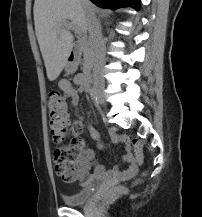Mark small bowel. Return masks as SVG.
Segmentation results:
<instances>
[{
  "label": "small bowel",
  "mask_w": 202,
  "mask_h": 217,
  "mask_svg": "<svg viewBox=\"0 0 202 217\" xmlns=\"http://www.w3.org/2000/svg\"><path fill=\"white\" fill-rule=\"evenodd\" d=\"M83 75L78 74L74 77V83L78 86L75 89L71 82L68 80H60L58 82L59 89L71 100V105L77 107L79 103V92L84 90L82 85ZM83 128V123L81 120H76L73 122H68V129H70L72 135L79 136ZM88 129L91 137L97 141L98 148L102 149L103 144L100 141L99 133L91 126L88 125ZM111 141L115 144L122 143L125 145L126 153L122 157L123 163L126 165L122 170H112L107 171L104 166L98 164L95 161V154L93 150L86 149L81 155V170L83 175H88L91 169L98 175H105L109 177H114L118 180H127L133 178L137 172L139 165L143 162V152L141 149V144L138 146L134 145V153L131 151L130 139L126 136L119 135L117 133L111 134Z\"/></svg>",
  "instance_id": "obj_1"
}]
</instances>
